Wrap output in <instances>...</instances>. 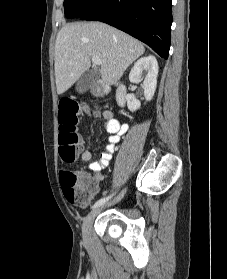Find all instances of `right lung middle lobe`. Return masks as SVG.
<instances>
[{
	"label": "right lung middle lobe",
	"instance_id": "dd1d6c3e",
	"mask_svg": "<svg viewBox=\"0 0 227 279\" xmlns=\"http://www.w3.org/2000/svg\"><path fill=\"white\" fill-rule=\"evenodd\" d=\"M95 0H64V11L67 18H80Z\"/></svg>",
	"mask_w": 227,
	"mask_h": 279
}]
</instances>
